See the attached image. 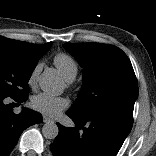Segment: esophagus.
<instances>
[{"instance_id":"esophagus-1","label":"esophagus","mask_w":156,"mask_h":156,"mask_svg":"<svg viewBox=\"0 0 156 156\" xmlns=\"http://www.w3.org/2000/svg\"><path fill=\"white\" fill-rule=\"evenodd\" d=\"M53 120L50 119L49 117H47L46 115H43V122L44 123H49V122H52Z\"/></svg>"}]
</instances>
